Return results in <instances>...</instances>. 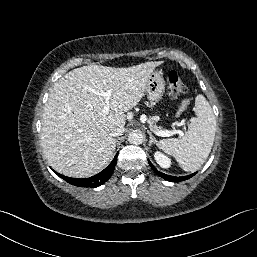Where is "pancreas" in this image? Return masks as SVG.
Instances as JSON below:
<instances>
[{
	"mask_svg": "<svg viewBox=\"0 0 257 257\" xmlns=\"http://www.w3.org/2000/svg\"><path fill=\"white\" fill-rule=\"evenodd\" d=\"M147 122H148L149 127H150L151 130H153V131H161L162 130L161 127H159V126L154 124V122H155V118L154 117H149L147 119Z\"/></svg>",
	"mask_w": 257,
	"mask_h": 257,
	"instance_id": "obj_1",
	"label": "pancreas"
}]
</instances>
